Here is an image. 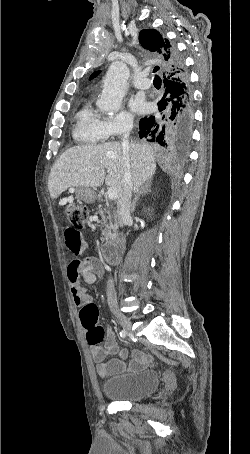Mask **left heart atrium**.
<instances>
[{"mask_svg":"<svg viewBox=\"0 0 250 454\" xmlns=\"http://www.w3.org/2000/svg\"><path fill=\"white\" fill-rule=\"evenodd\" d=\"M130 108L136 113H141L145 110L146 104L140 97H135L130 102Z\"/></svg>","mask_w":250,"mask_h":454,"instance_id":"left-heart-atrium-1","label":"left heart atrium"}]
</instances>
